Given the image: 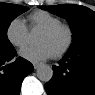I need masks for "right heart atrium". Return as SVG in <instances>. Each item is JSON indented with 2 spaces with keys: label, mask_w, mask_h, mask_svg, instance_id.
I'll return each instance as SVG.
<instances>
[{
  "label": "right heart atrium",
  "mask_w": 95,
  "mask_h": 95,
  "mask_svg": "<svg viewBox=\"0 0 95 95\" xmlns=\"http://www.w3.org/2000/svg\"><path fill=\"white\" fill-rule=\"evenodd\" d=\"M6 36L15 47L22 48L29 41V31L24 21L20 18L11 20L6 28Z\"/></svg>",
  "instance_id": "right-heart-atrium-1"
}]
</instances>
